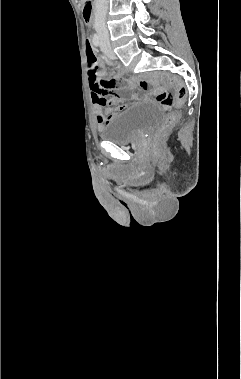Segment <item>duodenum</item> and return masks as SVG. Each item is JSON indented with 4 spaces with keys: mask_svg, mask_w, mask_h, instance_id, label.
Returning <instances> with one entry per match:
<instances>
[{
    "mask_svg": "<svg viewBox=\"0 0 241 379\" xmlns=\"http://www.w3.org/2000/svg\"><path fill=\"white\" fill-rule=\"evenodd\" d=\"M83 14L88 22H92L94 19L93 3L91 0H85L83 4Z\"/></svg>",
    "mask_w": 241,
    "mask_h": 379,
    "instance_id": "1",
    "label": "duodenum"
}]
</instances>
